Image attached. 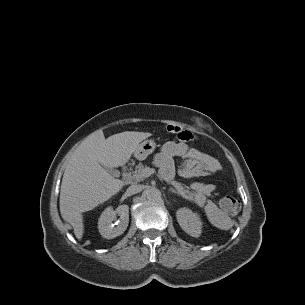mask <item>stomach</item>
Here are the masks:
<instances>
[{
	"mask_svg": "<svg viewBox=\"0 0 305 305\" xmlns=\"http://www.w3.org/2000/svg\"><path fill=\"white\" fill-rule=\"evenodd\" d=\"M156 148V143L152 139L144 140L142 143H140L135 151H134V157L139 160L143 161L145 160L150 154L154 152Z\"/></svg>",
	"mask_w": 305,
	"mask_h": 305,
	"instance_id": "0dacf381",
	"label": "stomach"
}]
</instances>
